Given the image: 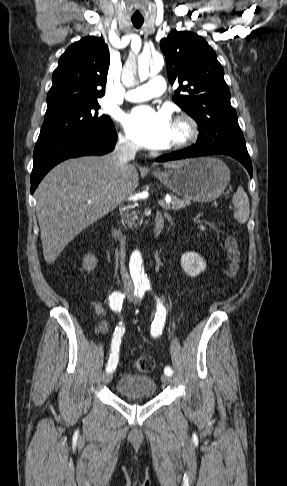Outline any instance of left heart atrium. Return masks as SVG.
Here are the masks:
<instances>
[{
    "label": "left heart atrium",
    "mask_w": 287,
    "mask_h": 486,
    "mask_svg": "<svg viewBox=\"0 0 287 486\" xmlns=\"http://www.w3.org/2000/svg\"><path fill=\"white\" fill-rule=\"evenodd\" d=\"M122 124L131 139L146 148L163 149L171 142L173 123L165 111L137 106L123 116Z\"/></svg>",
    "instance_id": "left-heart-atrium-1"
}]
</instances>
